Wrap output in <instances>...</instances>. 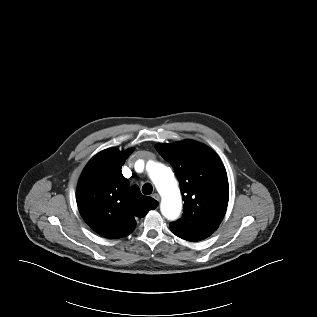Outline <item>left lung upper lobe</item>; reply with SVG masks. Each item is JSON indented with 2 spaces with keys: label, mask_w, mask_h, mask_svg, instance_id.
Here are the masks:
<instances>
[{
  "label": "left lung upper lobe",
  "mask_w": 317,
  "mask_h": 317,
  "mask_svg": "<svg viewBox=\"0 0 317 317\" xmlns=\"http://www.w3.org/2000/svg\"><path fill=\"white\" fill-rule=\"evenodd\" d=\"M156 150L174 168L184 200L182 218L170 227L219 225L229 199L226 171L219 157L206 145L192 140L157 144Z\"/></svg>",
  "instance_id": "5c2ea615"
}]
</instances>
